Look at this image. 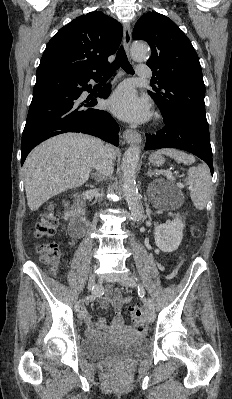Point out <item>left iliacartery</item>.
Returning a JSON list of instances; mask_svg holds the SVG:
<instances>
[{
	"label": "left iliac artery",
	"instance_id": "left-iliac-artery-1",
	"mask_svg": "<svg viewBox=\"0 0 232 399\" xmlns=\"http://www.w3.org/2000/svg\"><path fill=\"white\" fill-rule=\"evenodd\" d=\"M137 293H138V297L139 298H143L144 294H145V290L144 287L142 285H138L137 287ZM149 308L150 310H152L153 312L155 311V305L152 301L149 302Z\"/></svg>",
	"mask_w": 232,
	"mask_h": 399
}]
</instances>
